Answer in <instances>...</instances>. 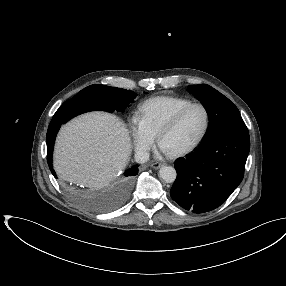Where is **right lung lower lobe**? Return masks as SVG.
<instances>
[{
  "instance_id": "obj_1",
  "label": "right lung lower lobe",
  "mask_w": 286,
  "mask_h": 286,
  "mask_svg": "<svg viewBox=\"0 0 286 286\" xmlns=\"http://www.w3.org/2000/svg\"><path fill=\"white\" fill-rule=\"evenodd\" d=\"M62 122L58 120L52 119L48 131H47V136H46V142H47V161L49 168L51 170V173L55 178L56 174L53 170V165H52V151H53V146H54V141L56 134L61 126ZM138 174V166L135 165L132 168L128 169L125 171L124 175L127 177L126 179H131L132 176H135Z\"/></svg>"
}]
</instances>
